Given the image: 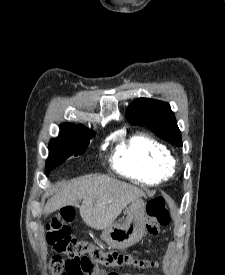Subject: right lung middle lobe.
<instances>
[{
    "instance_id": "1",
    "label": "right lung middle lobe",
    "mask_w": 225,
    "mask_h": 275,
    "mask_svg": "<svg viewBox=\"0 0 225 275\" xmlns=\"http://www.w3.org/2000/svg\"><path fill=\"white\" fill-rule=\"evenodd\" d=\"M92 135L93 131L85 127L61 125L59 136L51 139L49 144V157L46 162L47 175L68 157L83 154Z\"/></svg>"
}]
</instances>
